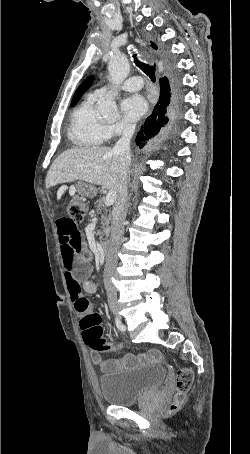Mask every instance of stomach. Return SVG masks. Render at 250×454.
Returning a JSON list of instances; mask_svg holds the SVG:
<instances>
[{
	"label": "stomach",
	"instance_id": "obj_1",
	"mask_svg": "<svg viewBox=\"0 0 250 454\" xmlns=\"http://www.w3.org/2000/svg\"><path fill=\"white\" fill-rule=\"evenodd\" d=\"M78 193L80 195L93 198L97 193V189L91 184L81 182L78 184Z\"/></svg>",
	"mask_w": 250,
	"mask_h": 454
}]
</instances>
